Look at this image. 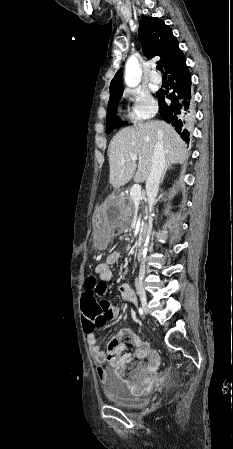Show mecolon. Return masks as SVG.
Wrapping results in <instances>:
<instances>
[{"label":"colon","instance_id":"5ec220e1","mask_svg":"<svg viewBox=\"0 0 233 449\" xmlns=\"http://www.w3.org/2000/svg\"><path fill=\"white\" fill-rule=\"evenodd\" d=\"M97 278L95 275H89L86 278V291L82 292L80 297V306H82V327L83 328H102L106 314L104 308L99 306L97 302V292L94 291ZM131 337L128 334H123L113 338L108 344V357L110 360L121 364L120 360H116V357L120 356L119 346L124 343H129Z\"/></svg>","mask_w":233,"mask_h":449}]
</instances>
